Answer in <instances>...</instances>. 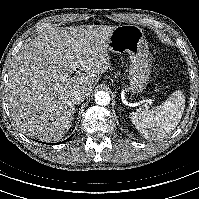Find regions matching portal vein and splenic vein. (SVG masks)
<instances>
[{
	"label": "portal vein and splenic vein",
	"mask_w": 199,
	"mask_h": 199,
	"mask_svg": "<svg viewBox=\"0 0 199 199\" xmlns=\"http://www.w3.org/2000/svg\"><path fill=\"white\" fill-rule=\"evenodd\" d=\"M69 67L74 71L75 70V66L73 65L72 62L69 61Z\"/></svg>",
	"instance_id": "1"
}]
</instances>
